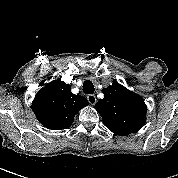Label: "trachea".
<instances>
[{"mask_svg": "<svg viewBox=\"0 0 178 178\" xmlns=\"http://www.w3.org/2000/svg\"><path fill=\"white\" fill-rule=\"evenodd\" d=\"M83 91H84L86 94H92V93H94L95 88H94V86H93V83H92L90 80H86V81L83 83Z\"/></svg>", "mask_w": 178, "mask_h": 178, "instance_id": "3493384b", "label": "trachea"}]
</instances>
